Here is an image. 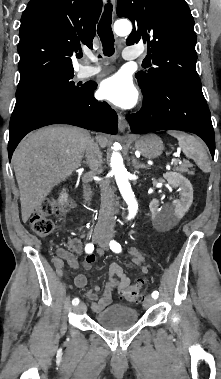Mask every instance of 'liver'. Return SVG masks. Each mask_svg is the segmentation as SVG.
Instances as JSON below:
<instances>
[{"mask_svg":"<svg viewBox=\"0 0 221 379\" xmlns=\"http://www.w3.org/2000/svg\"><path fill=\"white\" fill-rule=\"evenodd\" d=\"M89 140V132L81 128L49 126L30 133L19 143L12 162L24 223L51 190L80 167ZM96 140L106 147L105 136H97Z\"/></svg>","mask_w":221,"mask_h":379,"instance_id":"1","label":"liver"}]
</instances>
